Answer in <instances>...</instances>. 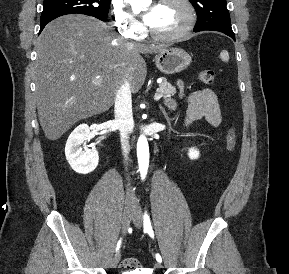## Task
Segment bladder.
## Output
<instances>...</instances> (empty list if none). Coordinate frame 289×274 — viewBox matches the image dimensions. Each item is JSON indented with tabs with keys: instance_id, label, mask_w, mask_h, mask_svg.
<instances>
[{
	"instance_id": "bladder-1",
	"label": "bladder",
	"mask_w": 289,
	"mask_h": 274,
	"mask_svg": "<svg viewBox=\"0 0 289 274\" xmlns=\"http://www.w3.org/2000/svg\"><path fill=\"white\" fill-rule=\"evenodd\" d=\"M122 274H146L141 271H125Z\"/></svg>"
}]
</instances>
